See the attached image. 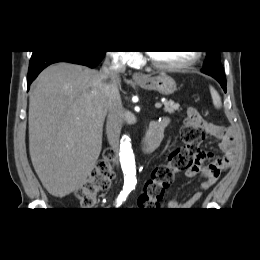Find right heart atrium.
Segmentation results:
<instances>
[{
    "mask_svg": "<svg viewBox=\"0 0 260 260\" xmlns=\"http://www.w3.org/2000/svg\"><path fill=\"white\" fill-rule=\"evenodd\" d=\"M118 61L124 64L133 65L141 60V56L138 52H118L116 55Z\"/></svg>",
    "mask_w": 260,
    "mask_h": 260,
    "instance_id": "obj_1",
    "label": "right heart atrium"
}]
</instances>
